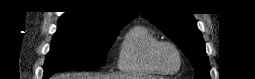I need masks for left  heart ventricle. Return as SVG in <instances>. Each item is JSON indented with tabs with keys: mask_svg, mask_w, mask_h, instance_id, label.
<instances>
[{
	"mask_svg": "<svg viewBox=\"0 0 255 79\" xmlns=\"http://www.w3.org/2000/svg\"><path fill=\"white\" fill-rule=\"evenodd\" d=\"M158 59L162 66L170 70L176 69L179 64L178 55L169 46H163L159 49Z\"/></svg>",
	"mask_w": 255,
	"mask_h": 79,
	"instance_id": "b2bd125f",
	"label": "left heart ventricle"
}]
</instances>
